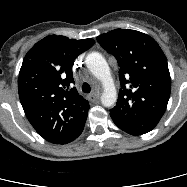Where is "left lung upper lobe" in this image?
I'll use <instances>...</instances> for the list:
<instances>
[{"label":"left lung upper lobe","mask_w":187,"mask_h":187,"mask_svg":"<svg viewBox=\"0 0 187 187\" xmlns=\"http://www.w3.org/2000/svg\"><path fill=\"white\" fill-rule=\"evenodd\" d=\"M99 44L118 61L121 88L110 116L117 127L145 134L158 124L170 97L167 59L149 35L115 29L97 37Z\"/></svg>","instance_id":"left-lung-upper-lobe-1"}]
</instances>
